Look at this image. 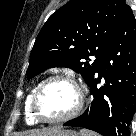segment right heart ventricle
I'll return each mask as SVG.
<instances>
[{
    "instance_id": "e07e8e85",
    "label": "right heart ventricle",
    "mask_w": 136,
    "mask_h": 136,
    "mask_svg": "<svg viewBox=\"0 0 136 136\" xmlns=\"http://www.w3.org/2000/svg\"><path fill=\"white\" fill-rule=\"evenodd\" d=\"M36 87L32 88V90L29 92V94L27 95L26 99H25V104H24V110H25V118L27 123L29 124H35L38 121L33 117L32 113H31V109H30V102H31V98L32 95L35 91Z\"/></svg>"
}]
</instances>
